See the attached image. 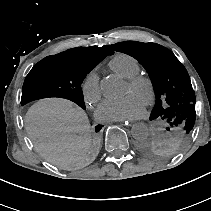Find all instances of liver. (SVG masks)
Masks as SVG:
<instances>
[{
	"instance_id": "6515ba94",
	"label": "liver",
	"mask_w": 211,
	"mask_h": 211,
	"mask_svg": "<svg viewBox=\"0 0 211 211\" xmlns=\"http://www.w3.org/2000/svg\"><path fill=\"white\" fill-rule=\"evenodd\" d=\"M24 122L35 148L55 164H75L91 145L88 117L69 100H39L29 108Z\"/></svg>"
}]
</instances>
